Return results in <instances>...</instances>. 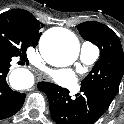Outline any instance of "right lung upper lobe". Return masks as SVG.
I'll return each instance as SVG.
<instances>
[{
	"instance_id": "1",
	"label": "right lung upper lobe",
	"mask_w": 124,
	"mask_h": 124,
	"mask_svg": "<svg viewBox=\"0 0 124 124\" xmlns=\"http://www.w3.org/2000/svg\"><path fill=\"white\" fill-rule=\"evenodd\" d=\"M0 16L13 20L26 32L36 45L38 44V40L41 36L40 29L43 27V24H41L30 12L23 9H12L0 14Z\"/></svg>"
}]
</instances>
